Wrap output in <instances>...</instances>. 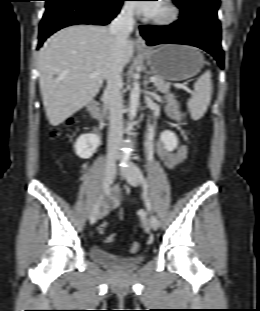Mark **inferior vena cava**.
Returning a JSON list of instances; mask_svg holds the SVG:
<instances>
[{
	"label": "inferior vena cava",
	"mask_w": 260,
	"mask_h": 311,
	"mask_svg": "<svg viewBox=\"0 0 260 311\" xmlns=\"http://www.w3.org/2000/svg\"><path fill=\"white\" fill-rule=\"evenodd\" d=\"M134 12L131 8H123L118 16L110 24V33L115 37V58L116 65L107 76V86L104 91V97L109 107V133H108V150L116 152L119 149L123 134L122 114H123V97L121 54L124 45L134 26Z\"/></svg>",
	"instance_id": "602c4592"
}]
</instances>
